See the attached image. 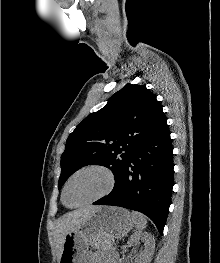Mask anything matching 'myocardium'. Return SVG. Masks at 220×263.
<instances>
[{"label":"myocardium","instance_id":"myocardium-1","mask_svg":"<svg viewBox=\"0 0 220 263\" xmlns=\"http://www.w3.org/2000/svg\"><path fill=\"white\" fill-rule=\"evenodd\" d=\"M86 171H99V172L103 173L107 178L106 188L100 194H98V195H96V196H94V197H92L86 201H83V202L75 204V205H68L65 201V195H66V191L68 189L69 184L77 175H79L83 172H86ZM115 184H116V176H115L114 172L109 167L104 166V165H100V164L87 165V166L81 167L78 170H76L67 179V181L63 187V191H62V201H63L64 205H66L67 207H70V208H77V207H81V206H84L87 204H91V203L97 202V201L103 199L104 197H106L107 195H109L113 191Z\"/></svg>","mask_w":220,"mask_h":263}]
</instances>
